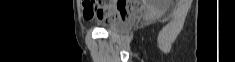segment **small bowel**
<instances>
[{"mask_svg":"<svg viewBox=\"0 0 235 62\" xmlns=\"http://www.w3.org/2000/svg\"><path fill=\"white\" fill-rule=\"evenodd\" d=\"M127 8L132 9L135 3H120ZM118 4L108 3L102 8H95L93 5L85 4L83 7V17L85 20L96 19L98 21L110 22L118 19L116 17V6ZM124 19V18H123Z\"/></svg>","mask_w":235,"mask_h":62,"instance_id":"c3829d8e","label":"small bowel"}]
</instances>
